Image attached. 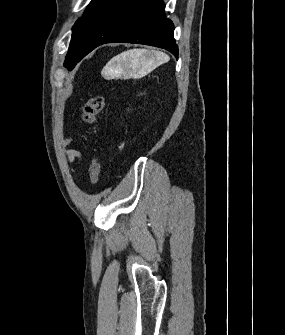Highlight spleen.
<instances>
[{
	"mask_svg": "<svg viewBox=\"0 0 285 335\" xmlns=\"http://www.w3.org/2000/svg\"><path fill=\"white\" fill-rule=\"evenodd\" d=\"M123 62H130L131 68H157L169 62L170 58L163 52H150V50H129L121 56Z\"/></svg>",
	"mask_w": 285,
	"mask_h": 335,
	"instance_id": "obj_1",
	"label": "spleen"
}]
</instances>
